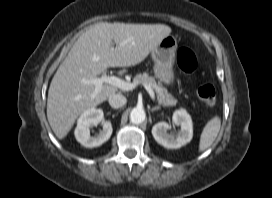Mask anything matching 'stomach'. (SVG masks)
Returning a JSON list of instances; mask_svg holds the SVG:
<instances>
[{
    "instance_id": "0dacf381",
    "label": "stomach",
    "mask_w": 272,
    "mask_h": 198,
    "mask_svg": "<svg viewBox=\"0 0 272 198\" xmlns=\"http://www.w3.org/2000/svg\"><path fill=\"white\" fill-rule=\"evenodd\" d=\"M177 46L176 38L169 35L151 51V57L154 61V75L166 85L174 82L173 65Z\"/></svg>"
}]
</instances>
